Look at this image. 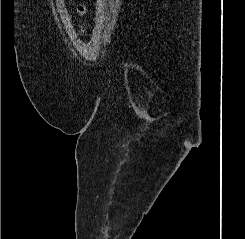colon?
Wrapping results in <instances>:
<instances>
[{"label": "colon", "instance_id": "5ec220e1", "mask_svg": "<svg viewBox=\"0 0 245 239\" xmlns=\"http://www.w3.org/2000/svg\"><path fill=\"white\" fill-rule=\"evenodd\" d=\"M79 12H80V13H84V12H85V8H84L83 6H80V7H79Z\"/></svg>", "mask_w": 245, "mask_h": 239}]
</instances>
